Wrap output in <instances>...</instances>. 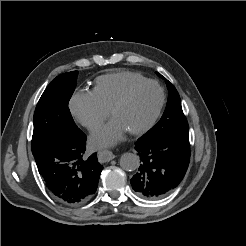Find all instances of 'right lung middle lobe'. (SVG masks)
I'll return each mask as SVG.
<instances>
[{
	"mask_svg": "<svg viewBox=\"0 0 246 246\" xmlns=\"http://www.w3.org/2000/svg\"><path fill=\"white\" fill-rule=\"evenodd\" d=\"M78 72L61 74L43 92L34 112L32 153L59 135H72L78 127L68 108Z\"/></svg>",
	"mask_w": 246,
	"mask_h": 246,
	"instance_id": "obj_1",
	"label": "right lung middle lobe"
}]
</instances>
